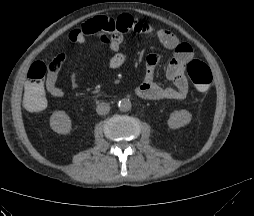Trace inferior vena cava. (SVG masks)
Returning <instances> with one entry per match:
<instances>
[{
	"label": "inferior vena cava",
	"mask_w": 254,
	"mask_h": 216,
	"mask_svg": "<svg viewBox=\"0 0 254 216\" xmlns=\"http://www.w3.org/2000/svg\"><path fill=\"white\" fill-rule=\"evenodd\" d=\"M110 111V105L106 102H101L97 105L96 112L99 115H106Z\"/></svg>",
	"instance_id": "1"
}]
</instances>
